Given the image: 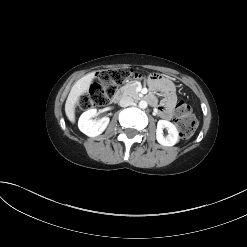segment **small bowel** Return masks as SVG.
Segmentation results:
<instances>
[{
    "label": "small bowel",
    "instance_id": "small-bowel-1",
    "mask_svg": "<svg viewBox=\"0 0 247 247\" xmlns=\"http://www.w3.org/2000/svg\"><path fill=\"white\" fill-rule=\"evenodd\" d=\"M149 86L152 90L163 92L164 99L159 108V114L164 119H170L177 101L174 85L168 79L155 73L150 76ZM150 96L154 98V105H156L157 98L154 95Z\"/></svg>",
    "mask_w": 247,
    "mask_h": 247
}]
</instances>
